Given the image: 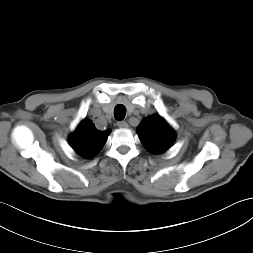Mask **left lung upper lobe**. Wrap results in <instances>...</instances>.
Wrapping results in <instances>:
<instances>
[{
    "label": "left lung upper lobe",
    "instance_id": "5c2ea615",
    "mask_svg": "<svg viewBox=\"0 0 253 253\" xmlns=\"http://www.w3.org/2000/svg\"><path fill=\"white\" fill-rule=\"evenodd\" d=\"M137 131L145 148L153 154L165 152L175 140L174 131L159 114L145 118Z\"/></svg>",
    "mask_w": 253,
    "mask_h": 253
}]
</instances>
